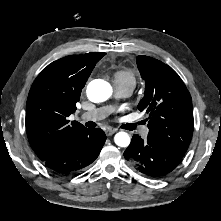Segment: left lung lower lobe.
<instances>
[{
    "label": "left lung lower lobe",
    "instance_id": "left-lung-lower-lobe-1",
    "mask_svg": "<svg viewBox=\"0 0 221 221\" xmlns=\"http://www.w3.org/2000/svg\"><path fill=\"white\" fill-rule=\"evenodd\" d=\"M124 157L138 172L152 178L167 175L181 163L183 158L161 142L150 137L144 141L136 134L125 150Z\"/></svg>",
    "mask_w": 221,
    "mask_h": 221
}]
</instances>
